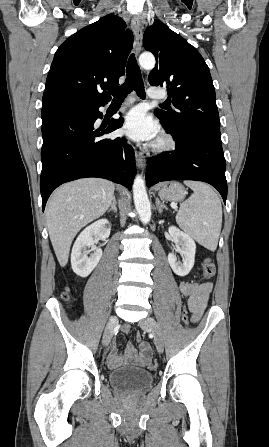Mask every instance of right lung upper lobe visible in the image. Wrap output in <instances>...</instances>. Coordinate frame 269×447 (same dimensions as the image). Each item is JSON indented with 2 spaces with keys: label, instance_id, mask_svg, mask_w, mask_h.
I'll return each mask as SVG.
<instances>
[{
  "label": "right lung upper lobe",
  "instance_id": "cb5924a9",
  "mask_svg": "<svg viewBox=\"0 0 269 447\" xmlns=\"http://www.w3.org/2000/svg\"><path fill=\"white\" fill-rule=\"evenodd\" d=\"M133 39L126 23L113 14L69 37L55 53L42 106L87 99L110 100L105 90L119 85Z\"/></svg>",
  "mask_w": 269,
  "mask_h": 447
}]
</instances>
